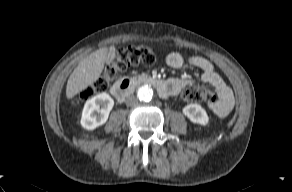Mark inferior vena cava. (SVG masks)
Instances as JSON below:
<instances>
[{
    "label": "inferior vena cava",
    "instance_id": "obj_1",
    "mask_svg": "<svg viewBox=\"0 0 292 192\" xmlns=\"http://www.w3.org/2000/svg\"><path fill=\"white\" fill-rule=\"evenodd\" d=\"M139 102L138 98L134 95H130L127 97L126 99V105L127 106H135L137 105Z\"/></svg>",
    "mask_w": 292,
    "mask_h": 192
}]
</instances>
